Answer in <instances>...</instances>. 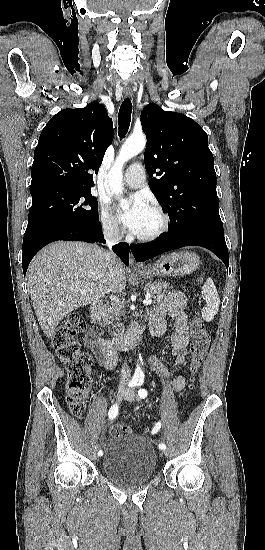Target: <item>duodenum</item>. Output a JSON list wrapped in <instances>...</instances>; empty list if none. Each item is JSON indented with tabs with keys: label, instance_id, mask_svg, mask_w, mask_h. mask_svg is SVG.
<instances>
[{
	"label": "duodenum",
	"instance_id": "410a0bca",
	"mask_svg": "<svg viewBox=\"0 0 265 550\" xmlns=\"http://www.w3.org/2000/svg\"><path fill=\"white\" fill-rule=\"evenodd\" d=\"M102 307V302L97 300L93 302L89 307V314L91 321L96 323L99 317V313ZM142 331L141 325H137L133 329L129 330L125 334L114 337L112 339H104V342L112 347L114 350H127L133 347Z\"/></svg>",
	"mask_w": 265,
	"mask_h": 550
}]
</instances>
